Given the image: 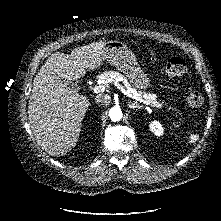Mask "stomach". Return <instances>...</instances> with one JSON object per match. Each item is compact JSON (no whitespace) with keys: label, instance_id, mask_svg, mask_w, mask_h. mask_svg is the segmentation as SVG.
<instances>
[{"label":"stomach","instance_id":"stomach-1","mask_svg":"<svg viewBox=\"0 0 221 221\" xmlns=\"http://www.w3.org/2000/svg\"><path fill=\"white\" fill-rule=\"evenodd\" d=\"M102 56L103 61L124 73L133 87L139 90L150 87V79L139 66L134 53L123 42L118 40L106 42Z\"/></svg>","mask_w":221,"mask_h":221}]
</instances>
